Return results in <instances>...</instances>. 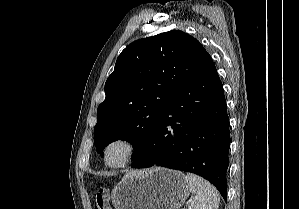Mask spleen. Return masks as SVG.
Returning a JSON list of instances; mask_svg holds the SVG:
<instances>
[{"instance_id":"spleen-1","label":"spleen","mask_w":299,"mask_h":209,"mask_svg":"<svg viewBox=\"0 0 299 209\" xmlns=\"http://www.w3.org/2000/svg\"><path fill=\"white\" fill-rule=\"evenodd\" d=\"M186 178L189 190L194 194L189 200L188 209H218L220 197L210 182L190 172L186 174Z\"/></svg>"}]
</instances>
